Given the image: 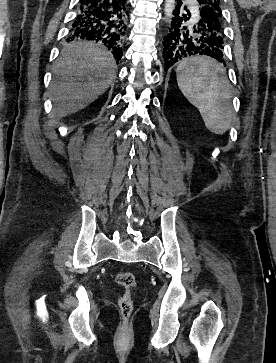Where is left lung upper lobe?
<instances>
[{
	"label": "left lung upper lobe",
	"instance_id": "1",
	"mask_svg": "<svg viewBox=\"0 0 276 363\" xmlns=\"http://www.w3.org/2000/svg\"><path fill=\"white\" fill-rule=\"evenodd\" d=\"M198 2L200 5H206V6L211 7L216 12V14L219 16V19L222 23L223 16H222V11H221V7H220V0H198ZM222 25H223V23H222ZM220 36L223 39L224 33L222 32L220 34Z\"/></svg>",
	"mask_w": 276,
	"mask_h": 363
}]
</instances>
